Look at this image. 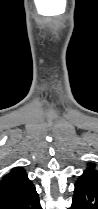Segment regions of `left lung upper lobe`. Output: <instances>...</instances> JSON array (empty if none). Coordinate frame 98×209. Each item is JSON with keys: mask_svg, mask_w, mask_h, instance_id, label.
Masks as SVG:
<instances>
[{"mask_svg": "<svg viewBox=\"0 0 98 209\" xmlns=\"http://www.w3.org/2000/svg\"><path fill=\"white\" fill-rule=\"evenodd\" d=\"M95 166L94 163H89L86 170H84L78 179H86L98 184V170L95 169Z\"/></svg>", "mask_w": 98, "mask_h": 209, "instance_id": "left-lung-upper-lobe-1", "label": "left lung upper lobe"}]
</instances>
